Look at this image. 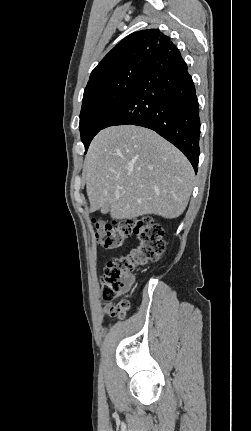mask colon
Segmentation results:
<instances>
[{"mask_svg":"<svg viewBox=\"0 0 251 431\" xmlns=\"http://www.w3.org/2000/svg\"><path fill=\"white\" fill-rule=\"evenodd\" d=\"M95 237L105 249L115 250L134 234L137 245L127 254L109 261L101 276L102 296L106 301H113L125 293L132 282L133 271L141 266L155 262L165 250L164 230L151 217L127 219L119 222L93 220ZM129 310V302L121 300L117 304H108L106 312L123 319Z\"/></svg>","mask_w":251,"mask_h":431,"instance_id":"5ec220e1","label":"colon"}]
</instances>
